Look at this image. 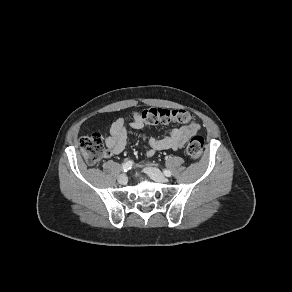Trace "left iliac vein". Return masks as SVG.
Segmentation results:
<instances>
[{"label":"left iliac vein","mask_w":292,"mask_h":292,"mask_svg":"<svg viewBox=\"0 0 292 292\" xmlns=\"http://www.w3.org/2000/svg\"><path fill=\"white\" fill-rule=\"evenodd\" d=\"M144 172L148 174L153 180L159 183H165L167 181L166 177L163 175V173L155 168V167H146L144 169Z\"/></svg>","instance_id":"4c4485c4"}]
</instances>
